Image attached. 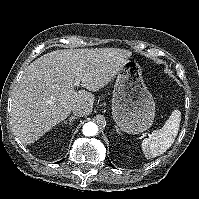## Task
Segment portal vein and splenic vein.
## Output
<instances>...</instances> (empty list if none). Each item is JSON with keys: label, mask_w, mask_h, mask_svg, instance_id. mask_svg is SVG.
Segmentation results:
<instances>
[{"label": "portal vein and splenic vein", "mask_w": 199, "mask_h": 199, "mask_svg": "<svg viewBox=\"0 0 199 199\" xmlns=\"http://www.w3.org/2000/svg\"><path fill=\"white\" fill-rule=\"evenodd\" d=\"M73 85H74V87L79 86L80 85V81L78 79H75Z\"/></svg>", "instance_id": "portal-vein-and-splenic-vein-1"}]
</instances>
